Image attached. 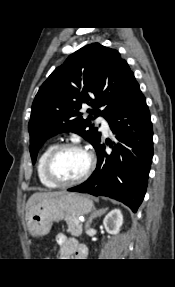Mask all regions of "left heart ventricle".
Listing matches in <instances>:
<instances>
[{
  "instance_id": "b2bd125f",
  "label": "left heart ventricle",
  "mask_w": 175,
  "mask_h": 287,
  "mask_svg": "<svg viewBox=\"0 0 175 287\" xmlns=\"http://www.w3.org/2000/svg\"><path fill=\"white\" fill-rule=\"evenodd\" d=\"M89 164L88 155L79 149H65L61 151L53 162V172L57 178L64 181L80 177Z\"/></svg>"
}]
</instances>
